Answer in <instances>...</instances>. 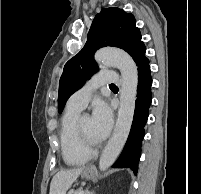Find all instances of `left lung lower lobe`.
Here are the masks:
<instances>
[{
  "instance_id": "1",
  "label": "left lung lower lobe",
  "mask_w": 201,
  "mask_h": 194,
  "mask_svg": "<svg viewBox=\"0 0 201 194\" xmlns=\"http://www.w3.org/2000/svg\"><path fill=\"white\" fill-rule=\"evenodd\" d=\"M146 47L142 41L139 42L134 54L133 60L138 67V87L137 99L135 105L134 118L129 133V137L125 144L117 162L113 167L117 168H131L135 175L138 170V162L141 155V143L144 137V126L148 119L149 107L151 105V71L149 60L145 56Z\"/></svg>"
}]
</instances>
